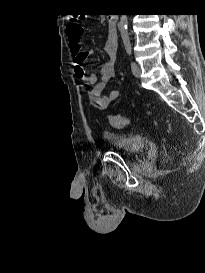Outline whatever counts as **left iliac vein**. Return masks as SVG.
Wrapping results in <instances>:
<instances>
[{"instance_id": "4c4485c4", "label": "left iliac vein", "mask_w": 205, "mask_h": 273, "mask_svg": "<svg viewBox=\"0 0 205 273\" xmlns=\"http://www.w3.org/2000/svg\"><path fill=\"white\" fill-rule=\"evenodd\" d=\"M131 70H132V73L135 77L139 78L140 75H141V70H140V67L138 66L137 63L135 62H131Z\"/></svg>"}]
</instances>
